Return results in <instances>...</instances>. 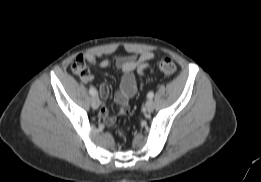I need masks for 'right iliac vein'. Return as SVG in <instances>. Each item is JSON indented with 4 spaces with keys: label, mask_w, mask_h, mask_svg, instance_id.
<instances>
[{
    "label": "right iliac vein",
    "mask_w": 261,
    "mask_h": 182,
    "mask_svg": "<svg viewBox=\"0 0 261 182\" xmlns=\"http://www.w3.org/2000/svg\"><path fill=\"white\" fill-rule=\"evenodd\" d=\"M100 105V100L97 96H92L91 98V106L93 109H97Z\"/></svg>",
    "instance_id": "obj_1"
}]
</instances>
